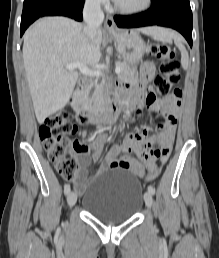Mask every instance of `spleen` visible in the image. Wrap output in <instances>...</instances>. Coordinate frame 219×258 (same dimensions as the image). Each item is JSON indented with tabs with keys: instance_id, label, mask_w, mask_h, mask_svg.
Returning <instances> with one entry per match:
<instances>
[{
	"instance_id": "spleen-1",
	"label": "spleen",
	"mask_w": 219,
	"mask_h": 258,
	"mask_svg": "<svg viewBox=\"0 0 219 258\" xmlns=\"http://www.w3.org/2000/svg\"><path fill=\"white\" fill-rule=\"evenodd\" d=\"M149 35L157 40L164 43H172V40H174L175 45L178 47V49L181 52V63L182 66L186 69L189 64V55L184 47V45L181 43L180 38L176 33L169 29L161 28V27H152Z\"/></svg>"
}]
</instances>
